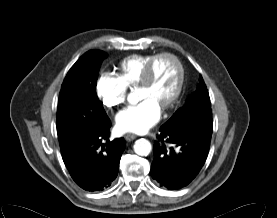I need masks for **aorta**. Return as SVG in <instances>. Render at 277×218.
<instances>
[{
  "label": "aorta",
  "mask_w": 277,
  "mask_h": 218,
  "mask_svg": "<svg viewBox=\"0 0 277 218\" xmlns=\"http://www.w3.org/2000/svg\"><path fill=\"white\" fill-rule=\"evenodd\" d=\"M133 96H129V100H131ZM134 152L139 156H147L151 152L152 146L151 143L146 139H138L134 143Z\"/></svg>",
  "instance_id": "762f6f07"
}]
</instances>
